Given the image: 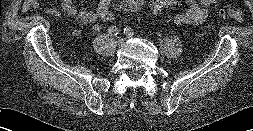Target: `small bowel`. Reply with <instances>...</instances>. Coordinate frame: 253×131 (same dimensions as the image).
Here are the masks:
<instances>
[{
    "label": "small bowel",
    "mask_w": 253,
    "mask_h": 131,
    "mask_svg": "<svg viewBox=\"0 0 253 131\" xmlns=\"http://www.w3.org/2000/svg\"><path fill=\"white\" fill-rule=\"evenodd\" d=\"M187 4L185 12L177 14L173 21L176 25H188L192 27L200 26L209 15V7L215 5L218 0H184ZM112 0H99L97 6L93 10L77 9L73 0H61L62 11L71 18H78L84 24H91L94 32L101 31L102 27L98 23L101 21V14L110 9ZM33 0H26L23 4V11L29 10L34 5ZM48 12L53 16H59L60 11L56 8L48 9ZM74 36H79L81 30L75 28L73 30Z\"/></svg>",
    "instance_id": "obj_1"
}]
</instances>
